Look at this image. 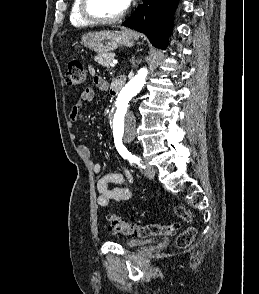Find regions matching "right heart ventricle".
Masks as SVG:
<instances>
[{"label": "right heart ventricle", "mask_w": 259, "mask_h": 294, "mask_svg": "<svg viewBox=\"0 0 259 294\" xmlns=\"http://www.w3.org/2000/svg\"><path fill=\"white\" fill-rule=\"evenodd\" d=\"M80 0H73L70 10V23L74 27H87L89 23L85 21L79 13Z\"/></svg>", "instance_id": "1"}]
</instances>
